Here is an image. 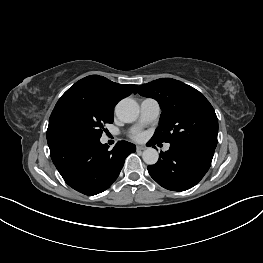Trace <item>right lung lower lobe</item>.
<instances>
[{
    "instance_id": "98d812e1",
    "label": "right lung lower lobe",
    "mask_w": 263,
    "mask_h": 263,
    "mask_svg": "<svg viewBox=\"0 0 263 263\" xmlns=\"http://www.w3.org/2000/svg\"><path fill=\"white\" fill-rule=\"evenodd\" d=\"M50 155L65 182L85 195L108 189L117 179L126 157L136 146L118 142L110 150L98 140H74L49 145Z\"/></svg>"
}]
</instances>
